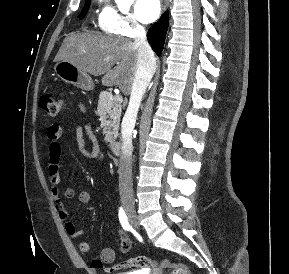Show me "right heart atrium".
<instances>
[{"instance_id":"obj_1","label":"right heart atrium","mask_w":289,"mask_h":274,"mask_svg":"<svg viewBox=\"0 0 289 274\" xmlns=\"http://www.w3.org/2000/svg\"><path fill=\"white\" fill-rule=\"evenodd\" d=\"M99 26L108 33L125 37H135L143 31V26L133 14L121 12L108 2L99 16Z\"/></svg>"}]
</instances>
